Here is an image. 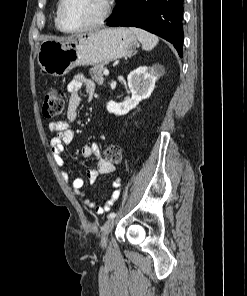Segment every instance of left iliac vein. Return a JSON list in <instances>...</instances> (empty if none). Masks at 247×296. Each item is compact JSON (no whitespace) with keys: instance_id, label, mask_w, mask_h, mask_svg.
<instances>
[{"instance_id":"obj_1","label":"left iliac vein","mask_w":247,"mask_h":296,"mask_svg":"<svg viewBox=\"0 0 247 296\" xmlns=\"http://www.w3.org/2000/svg\"><path fill=\"white\" fill-rule=\"evenodd\" d=\"M115 224L114 218H109L103 225L102 228V237H101V244L106 246L108 240V234L111 232Z\"/></svg>"}]
</instances>
